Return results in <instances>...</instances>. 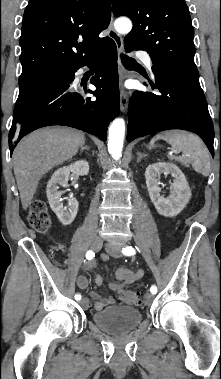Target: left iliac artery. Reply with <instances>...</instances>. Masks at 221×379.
I'll return each mask as SVG.
<instances>
[{
	"label": "left iliac artery",
	"instance_id": "1",
	"mask_svg": "<svg viewBox=\"0 0 221 379\" xmlns=\"http://www.w3.org/2000/svg\"><path fill=\"white\" fill-rule=\"evenodd\" d=\"M122 253L124 255L131 256V255H134L136 253V251L132 246H127V247L122 249ZM150 292L152 294H156L157 293V287L155 285H152L150 288Z\"/></svg>",
	"mask_w": 221,
	"mask_h": 379
}]
</instances>
